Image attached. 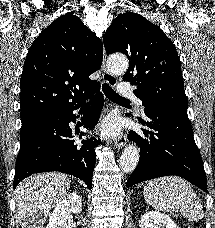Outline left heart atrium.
<instances>
[{"instance_id":"obj_1","label":"left heart atrium","mask_w":215,"mask_h":228,"mask_svg":"<svg viewBox=\"0 0 215 228\" xmlns=\"http://www.w3.org/2000/svg\"><path fill=\"white\" fill-rule=\"evenodd\" d=\"M98 131L103 136H115L119 132V125L114 117L106 118L98 127Z\"/></svg>"}]
</instances>
